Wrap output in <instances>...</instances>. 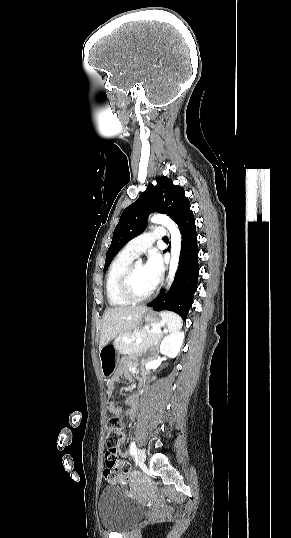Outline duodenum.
I'll return each instance as SVG.
<instances>
[{"label":"duodenum","instance_id":"duodenum-1","mask_svg":"<svg viewBox=\"0 0 291 538\" xmlns=\"http://www.w3.org/2000/svg\"><path fill=\"white\" fill-rule=\"evenodd\" d=\"M136 377H137V378H136V381H137L138 383H142V382L144 381L145 374H144L143 372H138V373L136 374Z\"/></svg>","mask_w":291,"mask_h":538}]
</instances>
